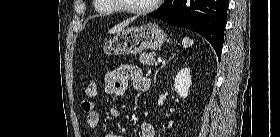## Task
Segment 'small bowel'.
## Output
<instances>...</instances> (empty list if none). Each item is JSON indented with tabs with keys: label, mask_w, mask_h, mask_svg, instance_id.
Segmentation results:
<instances>
[{
	"label": "small bowel",
	"mask_w": 280,
	"mask_h": 137,
	"mask_svg": "<svg viewBox=\"0 0 280 137\" xmlns=\"http://www.w3.org/2000/svg\"><path fill=\"white\" fill-rule=\"evenodd\" d=\"M129 82L138 92L146 91L150 86L149 78L145 77L140 68L133 65H120L113 71L108 72L104 77L105 93L112 97V105L109 108V115L117 118L120 115L117 102L127 90ZM95 102L85 100L82 102V110L86 114L87 126L94 130L100 121V115L95 109ZM105 137H121L117 134H106ZM140 137H154V127L149 122H143L140 125Z\"/></svg>",
	"instance_id": "1"
}]
</instances>
